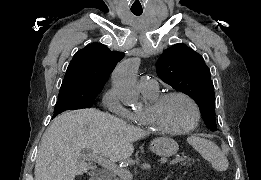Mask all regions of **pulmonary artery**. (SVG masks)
Here are the masks:
<instances>
[{
    "label": "pulmonary artery",
    "mask_w": 261,
    "mask_h": 180,
    "mask_svg": "<svg viewBox=\"0 0 261 180\" xmlns=\"http://www.w3.org/2000/svg\"><path fill=\"white\" fill-rule=\"evenodd\" d=\"M139 87L142 91H155L158 87V83L153 77L149 75H142L139 78Z\"/></svg>",
    "instance_id": "pulmonary-artery-1"
}]
</instances>
